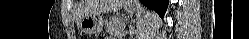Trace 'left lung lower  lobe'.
Returning <instances> with one entry per match:
<instances>
[{
    "label": "left lung lower lobe",
    "instance_id": "1",
    "mask_svg": "<svg viewBox=\"0 0 249 39\" xmlns=\"http://www.w3.org/2000/svg\"><path fill=\"white\" fill-rule=\"evenodd\" d=\"M140 1L143 2L149 8L154 9L162 17L168 6V0H140Z\"/></svg>",
    "mask_w": 249,
    "mask_h": 39
}]
</instances>
